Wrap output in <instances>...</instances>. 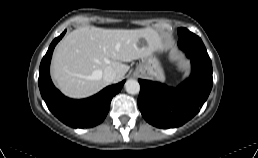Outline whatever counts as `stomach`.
Listing matches in <instances>:
<instances>
[{"mask_svg": "<svg viewBox=\"0 0 258 158\" xmlns=\"http://www.w3.org/2000/svg\"><path fill=\"white\" fill-rule=\"evenodd\" d=\"M134 75L148 77L161 82L165 80L164 71L160 62L153 56L143 59L136 67Z\"/></svg>", "mask_w": 258, "mask_h": 158, "instance_id": "0dacf381", "label": "stomach"}]
</instances>
